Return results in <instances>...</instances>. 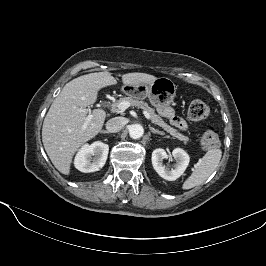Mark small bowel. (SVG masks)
Returning a JSON list of instances; mask_svg holds the SVG:
<instances>
[{
	"instance_id": "1",
	"label": "small bowel",
	"mask_w": 266,
	"mask_h": 266,
	"mask_svg": "<svg viewBox=\"0 0 266 266\" xmlns=\"http://www.w3.org/2000/svg\"><path fill=\"white\" fill-rule=\"evenodd\" d=\"M161 113L163 116L168 118L170 120V122L174 126H176L177 128H179L181 130L187 129L186 122L182 118H180L179 116L175 115L174 111L171 108L165 107L161 110Z\"/></svg>"
}]
</instances>
